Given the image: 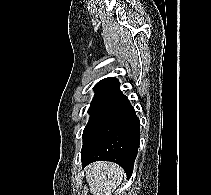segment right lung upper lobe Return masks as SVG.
Returning a JSON list of instances; mask_svg holds the SVG:
<instances>
[{
    "mask_svg": "<svg viewBox=\"0 0 211 195\" xmlns=\"http://www.w3.org/2000/svg\"><path fill=\"white\" fill-rule=\"evenodd\" d=\"M120 83L116 78L109 77L99 81L94 89L95 92H104V93H111L115 94L116 92L120 91L119 89Z\"/></svg>",
    "mask_w": 211,
    "mask_h": 195,
    "instance_id": "cb5924a9",
    "label": "right lung upper lobe"
}]
</instances>
